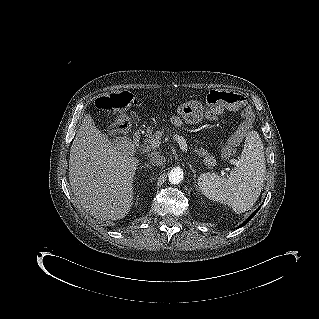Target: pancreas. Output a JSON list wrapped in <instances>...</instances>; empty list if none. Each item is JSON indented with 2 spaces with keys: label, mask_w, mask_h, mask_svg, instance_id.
Wrapping results in <instances>:
<instances>
[{
  "label": "pancreas",
  "mask_w": 319,
  "mask_h": 319,
  "mask_svg": "<svg viewBox=\"0 0 319 319\" xmlns=\"http://www.w3.org/2000/svg\"><path fill=\"white\" fill-rule=\"evenodd\" d=\"M159 144V137L156 138V135L153 132V130L148 128L146 133V139L144 140V144L142 145V147L145 150H150L152 148L158 147ZM203 162L208 167H213L216 165L215 157L207 152L204 154Z\"/></svg>",
  "instance_id": "cf45deb5"
}]
</instances>
